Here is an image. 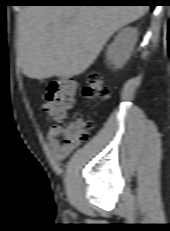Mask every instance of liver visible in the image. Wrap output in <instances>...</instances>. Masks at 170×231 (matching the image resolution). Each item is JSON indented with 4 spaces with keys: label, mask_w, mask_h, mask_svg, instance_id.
Masks as SVG:
<instances>
[{
    "label": "liver",
    "mask_w": 170,
    "mask_h": 231,
    "mask_svg": "<svg viewBox=\"0 0 170 231\" xmlns=\"http://www.w3.org/2000/svg\"><path fill=\"white\" fill-rule=\"evenodd\" d=\"M146 6H26L18 16V65L29 78L79 75L109 38L138 20Z\"/></svg>",
    "instance_id": "6515ba94"
}]
</instances>
